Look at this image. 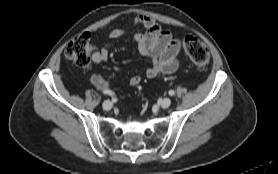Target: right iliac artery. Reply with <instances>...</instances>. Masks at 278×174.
Wrapping results in <instances>:
<instances>
[{
    "instance_id": "right-iliac-artery-1",
    "label": "right iliac artery",
    "mask_w": 278,
    "mask_h": 174,
    "mask_svg": "<svg viewBox=\"0 0 278 174\" xmlns=\"http://www.w3.org/2000/svg\"><path fill=\"white\" fill-rule=\"evenodd\" d=\"M104 94H107V95H113V93L111 91H103Z\"/></svg>"
}]
</instances>
